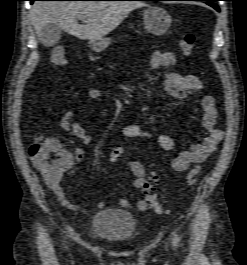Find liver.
Here are the masks:
<instances>
[{
    "label": "liver",
    "mask_w": 247,
    "mask_h": 265,
    "mask_svg": "<svg viewBox=\"0 0 247 265\" xmlns=\"http://www.w3.org/2000/svg\"><path fill=\"white\" fill-rule=\"evenodd\" d=\"M146 6L139 1H36L30 20L37 36L46 24L58 25L81 40H98L117 28L128 14ZM84 16L85 25L77 20Z\"/></svg>",
    "instance_id": "obj_1"
}]
</instances>
